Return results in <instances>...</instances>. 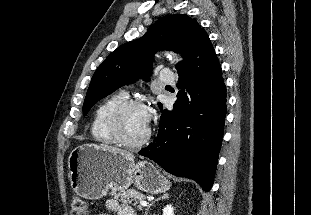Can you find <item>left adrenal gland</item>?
Listing matches in <instances>:
<instances>
[{
    "label": "left adrenal gland",
    "mask_w": 311,
    "mask_h": 215,
    "mask_svg": "<svg viewBox=\"0 0 311 215\" xmlns=\"http://www.w3.org/2000/svg\"><path fill=\"white\" fill-rule=\"evenodd\" d=\"M169 198V194H163V196L157 198L156 200L152 201L146 208V211H145V215H148V211L150 209V207L157 201L161 200V199H167Z\"/></svg>",
    "instance_id": "left-adrenal-gland-1"
}]
</instances>
